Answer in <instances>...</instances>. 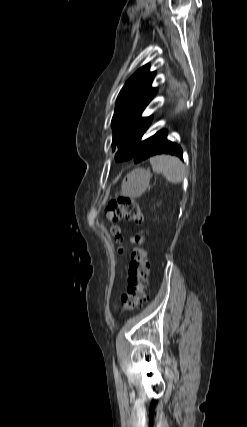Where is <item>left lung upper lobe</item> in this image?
I'll list each match as a JSON object with an SVG mask.
<instances>
[{
  "label": "left lung upper lobe",
  "mask_w": 247,
  "mask_h": 427,
  "mask_svg": "<svg viewBox=\"0 0 247 427\" xmlns=\"http://www.w3.org/2000/svg\"><path fill=\"white\" fill-rule=\"evenodd\" d=\"M155 72L149 64L138 69L120 91L112 118L113 151L117 146L116 161L134 158L141 138L151 123V118L141 114L156 94L151 87Z\"/></svg>",
  "instance_id": "1"
}]
</instances>
